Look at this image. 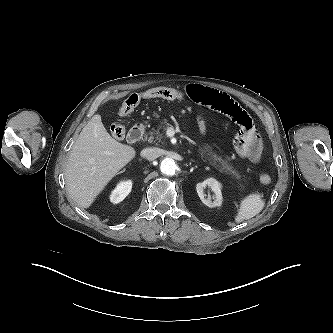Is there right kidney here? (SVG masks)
Segmentation results:
<instances>
[{"instance_id":"ca27d5eb","label":"right kidney","mask_w":333,"mask_h":333,"mask_svg":"<svg viewBox=\"0 0 333 333\" xmlns=\"http://www.w3.org/2000/svg\"><path fill=\"white\" fill-rule=\"evenodd\" d=\"M132 181H122L112 191L110 195V201L117 204L124 200V198L131 192Z\"/></svg>"}]
</instances>
